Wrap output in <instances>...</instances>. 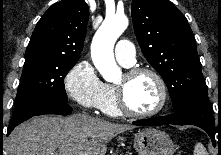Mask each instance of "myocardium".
Listing matches in <instances>:
<instances>
[{
  "label": "myocardium",
  "instance_id": "obj_1",
  "mask_svg": "<svg viewBox=\"0 0 221 155\" xmlns=\"http://www.w3.org/2000/svg\"><path fill=\"white\" fill-rule=\"evenodd\" d=\"M140 74H149L151 75L157 82L159 89H160V102L159 105L149 112H137L133 110L126 98L125 88L123 85H115L114 92L116 97V102L118 105L119 110L122 114H125L130 117L135 118H149L159 114L166 106L168 101V90L166 83L163 77L154 69L149 67H133L128 69L124 76L127 80H130Z\"/></svg>",
  "mask_w": 221,
  "mask_h": 155
}]
</instances>
